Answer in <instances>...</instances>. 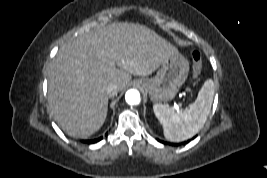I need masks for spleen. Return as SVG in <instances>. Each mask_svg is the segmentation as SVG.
I'll return each instance as SVG.
<instances>
[{
    "mask_svg": "<svg viewBox=\"0 0 267 178\" xmlns=\"http://www.w3.org/2000/svg\"><path fill=\"white\" fill-rule=\"evenodd\" d=\"M214 95V82L205 81L195 102L180 112H175L168 105L154 104L153 111L162 124L163 133L167 140L180 142L197 134L204 126L210 113Z\"/></svg>",
    "mask_w": 267,
    "mask_h": 178,
    "instance_id": "spleen-1",
    "label": "spleen"
}]
</instances>
